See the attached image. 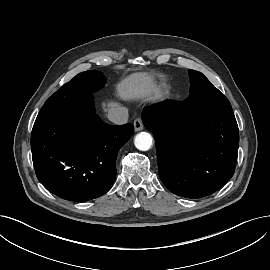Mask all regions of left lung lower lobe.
<instances>
[{
    "instance_id": "1",
    "label": "left lung lower lobe",
    "mask_w": 270,
    "mask_h": 270,
    "mask_svg": "<svg viewBox=\"0 0 270 270\" xmlns=\"http://www.w3.org/2000/svg\"><path fill=\"white\" fill-rule=\"evenodd\" d=\"M143 123L154 134L159 177L174 194L208 196L233 176L239 129L232 110L203 112L190 92L184 102L152 105Z\"/></svg>"
}]
</instances>
